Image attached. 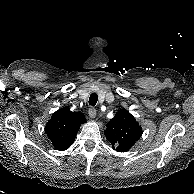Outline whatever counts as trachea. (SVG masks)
I'll return each instance as SVG.
<instances>
[{
  "label": "trachea",
  "mask_w": 194,
  "mask_h": 194,
  "mask_svg": "<svg viewBox=\"0 0 194 194\" xmlns=\"http://www.w3.org/2000/svg\"><path fill=\"white\" fill-rule=\"evenodd\" d=\"M98 101V95L96 93H92L89 97V105L95 106Z\"/></svg>",
  "instance_id": "trachea-1"
}]
</instances>
